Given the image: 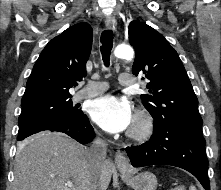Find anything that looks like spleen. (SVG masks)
<instances>
[{
  "label": "spleen",
  "instance_id": "1",
  "mask_svg": "<svg viewBox=\"0 0 221 190\" xmlns=\"http://www.w3.org/2000/svg\"><path fill=\"white\" fill-rule=\"evenodd\" d=\"M189 190H196L195 186L191 185Z\"/></svg>",
  "mask_w": 221,
  "mask_h": 190
}]
</instances>
